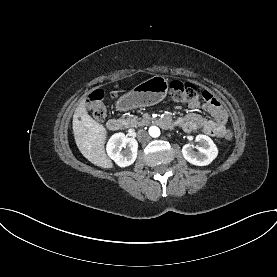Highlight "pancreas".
Wrapping results in <instances>:
<instances>
[{
    "mask_svg": "<svg viewBox=\"0 0 277 277\" xmlns=\"http://www.w3.org/2000/svg\"><path fill=\"white\" fill-rule=\"evenodd\" d=\"M128 127H140L144 125V122L141 118L137 116H129L126 119H124Z\"/></svg>",
    "mask_w": 277,
    "mask_h": 277,
    "instance_id": "pancreas-1",
    "label": "pancreas"
}]
</instances>
